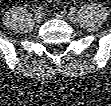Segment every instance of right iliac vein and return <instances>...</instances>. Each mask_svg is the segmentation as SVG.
<instances>
[{"label":"right iliac vein","instance_id":"63e3f726","mask_svg":"<svg viewBox=\"0 0 111 106\" xmlns=\"http://www.w3.org/2000/svg\"><path fill=\"white\" fill-rule=\"evenodd\" d=\"M34 20H35V22H37V23L42 22V20H43V13H42V12H37V13L35 14V16H34Z\"/></svg>","mask_w":111,"mask_h":106}]
</instances>
